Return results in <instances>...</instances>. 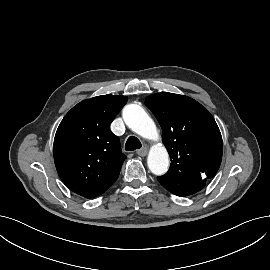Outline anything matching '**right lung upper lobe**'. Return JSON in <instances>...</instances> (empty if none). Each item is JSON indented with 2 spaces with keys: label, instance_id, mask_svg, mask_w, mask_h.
Wrapping results in <instances>:
<instances>
[{
  "label": "right lung upper lobe",
  "instance_id": "1",
  "mask_svg": "<svg viewBox=\"0 0 270 270\" xmlns=\"http://www.w3.org/2000/svg\"><path fill=\"white\" fill-rule=\"evenodd\" d=\"M126 102V96L93 97L78 103L61 121L54 138V161L61 180L73 192L96 197L117 180L126 156L109 127Z\"/></svg>",
  "mask_w": 270,
  "mask_h": 270
}]
</instances>
